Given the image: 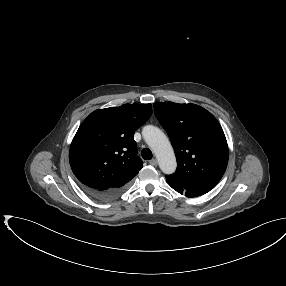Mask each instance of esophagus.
<instances>
[{
	"instance_id": "esophagus-1",
	"label": "esophagus",
	"mask_w": 286,
	"mask_h": 286,
	"mask_svg": "<svg viewBox=\"0 0 286 286\" xmlns=\"http://www.w3.org/2000/svg\"><path fill=\"white\" fill-rule=\"evenodd\" d=\"M149 163H150V165H152V166H157V160L156 159H152V160H150L149 161Z\"/></svg>"
}]
</instances>
